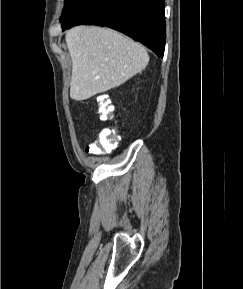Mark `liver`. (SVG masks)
Listing matches in <instances>:
<instances>
[{
	"label": "liver",
	"mask_w": 243,
	"mask_h": 289,
	"mask_svg": "<svg viewBox=\"0 0 243 289\" xmlns=\"http://www.w3.org/2000/svg\"><path fill=\"white\" fill-rule=\"evenodd\" d=\"M65 40L72 60L70 97L76 101L120 86L149 62L143 45L112 29L77 26Z\"/></svg>",
	"instance_id": "liver-1"
}]
</instances>
